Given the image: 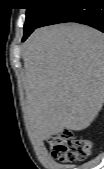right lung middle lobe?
Wrapping results in <instances>:
<instances>
[{
    "label": "right lung middle lobe",
    "mask_w": 104,
    "mask_h": 169,
    "mask_svg": "<svg viewBox=\"0 0 104 169\" xmlns=\"http://www.w3.org/2000/svg\"><path fill=\"white\" fill-rule=\"evenodd\" d=\"M24 35L40 26L44 19L55 9V0H27Z\"/></svg>",
    "instance_id": "1"
}]
</instances>
